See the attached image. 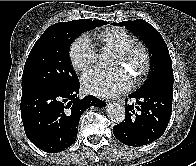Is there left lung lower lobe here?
I'll return each mask as SVG.
<instances>
[{
    "label": "left lung lower lobe",
    "mask_w": 196,
    "mask_h": 166,
    "mask_svg": "<svg viewBox=\"0 0 196 166\" xmlns=\"http://www.w3.org/2000/svg\"><path fill=\"white\" fill-rule=\"evenodd\" d=\"M128 97L140 106L126 105L125 119L114 126V136L128 146H143L160 138L170 120L173 87L157 85Z\"/></svg>",
    "instance_id": "left-lung-lower-lobe-1"
}]
</instances>
